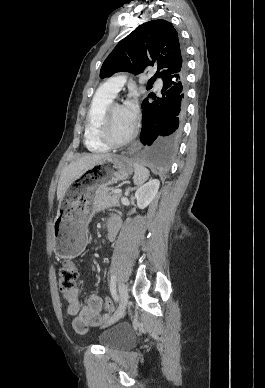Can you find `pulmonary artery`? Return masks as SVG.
Returning a JSON list of instances; mask_svg holds the SVG:
<instances>
[{"instance_id":"e3ab8cb5","label":"pulmonary artery","mask_w":265,"mask_h":388,"mask_svg":"<svg viewBox=\"0 0 265 388\" xmlns=\"http://www.w3.org/2000/svg\"><path fill=\"white\" fill-rule=\"evenodd\" d=\"M154 79L157 82H160L162 77L157 75ZM123 84L124 81L122 79H118L117 76H114L113 79H107L105 83H103L102 88L103 90H119Z\"/></svg>"}]
</instances>
